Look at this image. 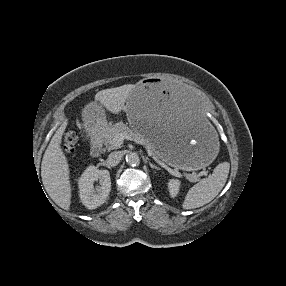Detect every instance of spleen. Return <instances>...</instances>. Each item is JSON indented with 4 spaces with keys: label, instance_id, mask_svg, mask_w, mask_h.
Here are the masks:
<instances>
[{
    "label": "spleen",
    "instance_id": "3e777b00",
    "mask_svg": "<svg viewBox=\"0 0 286 286\" xmlns=\"http://www.w3.org/2000/svg\"><path fill=\"white\" fill-rule=\"evenodd\" d=\"M229 169L230 164L228 162L218 164L211 176L200 180L189 189L182 205L183 208L194 209L212 201L224 187Z\"/></svg>",
    "mask_w": 286,
    "mask_h": 286
}]
</instances>
